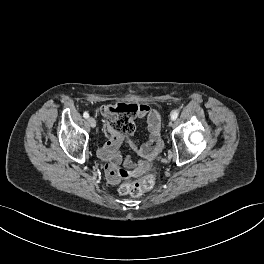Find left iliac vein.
<instances>
[{
  "label": "left iliac vein",
  "mask_w": 264,
  "mask_h": 264,
  "mask_svg": "<svg viewBox=\"0 0 264 264\" xmlns=\"http://www.w3.org/2000/svg\"><path fill=\"white\" fill-rule=\"evenodd\" d=\"M169 126H173V120L172 119L169 121Z\"/></svg>",
  "instance_id": "obj_1"
}]
</instances>
